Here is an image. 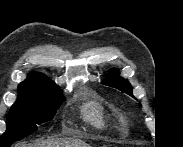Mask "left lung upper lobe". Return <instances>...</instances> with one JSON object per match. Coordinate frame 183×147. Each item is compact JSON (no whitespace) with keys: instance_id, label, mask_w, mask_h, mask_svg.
Here are the masks:
<instances>
[{"instance_id":"obj_1","label":"left lung upper lobe","mask_w":183,"mask_h":147,"mask_svg":"<svg viewBox=\"0 0 183 147\" xmlns=\"http://www.w3.org/2000/svg\"><path fill=\"white\" fill-rule=\"evenodd\" d=\"M104 85H107L109 87H114L132 97V87L131 84L125 80L124 78L119 76L118 70L114 69L112 70L107 78L104 80V82H102Z\"/></svg>"}]
</instances>
